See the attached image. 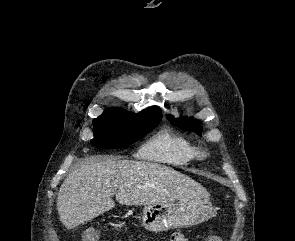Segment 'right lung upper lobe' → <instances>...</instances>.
Instances as JSON below:
<instances>
[{
    "mask_svg": "<svg viewBox=\"0 0 295 241\" xmlns=\"http://www.w3.org/2000/svg\"><path fill=\"white\" fill-rule=\"evenodd\" d=\"M141 112H145L149 115H152V116H156V117H161L162 118V115H161V111L158 107H149Z\"/></svg>",
    "mask_w": 295,
    "mask_h": 241,
    "instance_id": "cb5924a9",
    "label": "right lung upper lobe"
}]
</instances>
